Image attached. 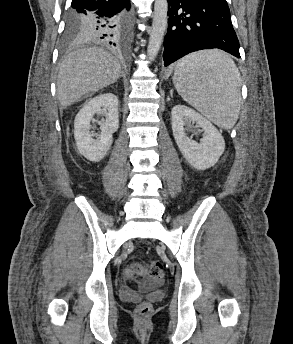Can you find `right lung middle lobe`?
Returning <instances> with one entry per match:
<instances>
[{
	"label": "right lung middle lobe",
	"instance_id": "dd1d6c3e",
	"mask_svg": "<svg viewBox=\"0 0 293 344\" xmlns=\"http://www.w3.org/2000/svg\"><path fill=\"white\" fill-rule=\"evenodd\" d=\"M85 20H86L85 15L81 13L73 12L71 10L68 16L67 27L64 33V38H63L65 44L68 45L72 43H78L84 40L81 33V28Z\"/></svg>",
	"mask_w": 293,
	"mask_h": 344
}]
</instances>
